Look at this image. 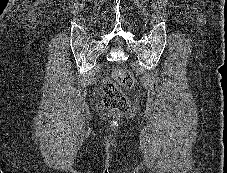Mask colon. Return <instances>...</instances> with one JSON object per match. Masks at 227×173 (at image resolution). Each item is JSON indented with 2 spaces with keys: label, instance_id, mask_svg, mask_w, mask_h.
<instances>
[{
  "label": "colon",
  "instance_id": "colon-1",
  "mask_svg": "<svg viewBox=\"0 0 227 173\" xmlns=\"http://www.w3.org/2000/svg\"><path fill=\"white\" fill-rule=\"evenodd\" d=\"M134 78L130 71L116 69L113 71L112 80L104 82L102 89L104 92V103L111 108L125 111L129 107V101L122 92V88H132Z\"/></svg>",
  "mask_w": 227,
  "mask_h": 173
}]
</instances>
